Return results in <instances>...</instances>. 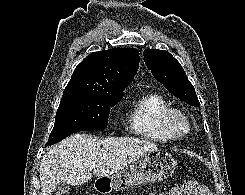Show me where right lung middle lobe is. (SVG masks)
Here are the masks:
<instances>
[{
  "mask_svg": "<svg viewBox=\"0 0 245 195\" xmlns=\"http://www.w3.org/2000/svg\"><path fill=\"white\" fill-rule=\"evenodd\" d=\"M120 99L121 97L93 93L63 94L46 146L57 143L75 132L105 129L110 108Z\"/></svg>",
  "mask_w": 245,
  "mask_h": 195,
  "instance_id": "obj_1",
  "label": "right lung middle lobe"
}]
</instances>
